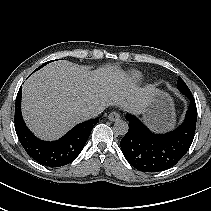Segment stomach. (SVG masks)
<instances>
[{
	"label": "stomach",
	"instance_id": "stomach-1",
	"mask_svg": "<svg viewBox=\"0 0 211 211\" xmlns=\"http://www.w3.org/2000/svg\"><path fill=\"white\" fill-rule=\"evenodd\" d=\"M143 120L156 131H166L172 128L175 124L172 98L166 92L155 89L143 112Z\"/></svg>",
	"mask_w": 211,
	"mask_h": 211
}]
</instances>
